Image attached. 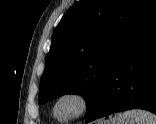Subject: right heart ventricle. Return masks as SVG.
<instances>
[{
	"mask_svg": "<svg viewBox=\"0 0 156 124\" xmlns=\"http://www.w3.org/2000/svg\"><path fill=\"white\" fill-rule=\"evenodd\" d=\"M56 118V117H55ZM58 121H62V120H60V119H58V118H56Z\"/></svg>",
	"mask_w": 156,
	"mask_h": 124,
	"instance_id": "right-heart-ventricle-1",
	"label": "right heart ventricle"
}]
</instances>
